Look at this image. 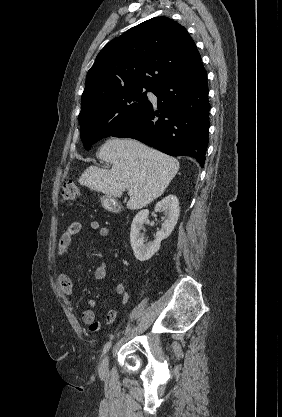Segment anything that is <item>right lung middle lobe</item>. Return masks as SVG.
<instances>
[{
	"instance_id": "dd1d6c3e",
	"label": "right lung middle lobe",
	"mask_w": 282,
	"mask_h": 417,
	"mask_svg": "<svg viewBox=\"0 0 282 417\" xmlns=\"http://www.w3.org/2000/svg\"><path fill=\"white\" fill-rule=\"evenodd\" d=\"M149 103L146 92L138 87L105 92L82 100L79 124L84 148L89 150L103 137L122 129Z\"/></svg>"
}]
</instances>
